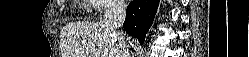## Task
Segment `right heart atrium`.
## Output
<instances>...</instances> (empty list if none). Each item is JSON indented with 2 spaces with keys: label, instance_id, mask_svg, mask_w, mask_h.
<instances>
[{
  "label": "right heart atrium",
  "instance_id": "d8ad5b80",
  "mask_svg": "<svg viewBox=\"0 0 249 57\" xmlns=\"http://www.w3.org/2000/svg\"><path fill=\"white\" fill-rule=\"evenodd\" d=\"M122 3L120 1L112 0H94L93 6L101 14L110 13L113 10L118 9Z\"/></svg>",
  "mask_w": 249,
  "mask_h": 57
}]
</instances>
